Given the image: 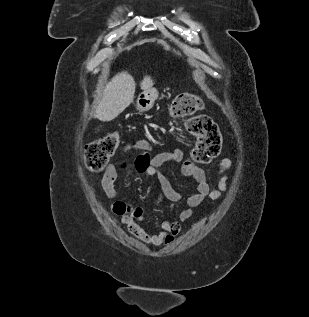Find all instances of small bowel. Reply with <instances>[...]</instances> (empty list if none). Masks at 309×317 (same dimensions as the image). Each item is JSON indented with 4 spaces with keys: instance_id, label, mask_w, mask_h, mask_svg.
I'll return each instance as SVG.
<instances>
[{
    "instance_id": "small-bowel-1",
    "label": "small bowel",
    "mask_w": 309,
    "mask_h": 317,
    "mask_svg": "<svg viewBox=\"0 0 309 317\" xmlns=\"http://www.w3.org/2000/svg\"><path fill=\"white\" fill-rule=\"evenodd\" d=\"M154 146L148 140H139L131 146V150L136 152L133 161L124 163V168L131 167L136 172L153 177L160 186V193L156 199V204L163 199L170 203H176L182 199L181 194L171 185L168 178L162 171V167L168 163H179L183 160V152L179 148H173L170 152L160 153L151 156ZM233 163L230 159H222L216 169L218 180L210 184L205 172L197 167L190 159L184 161L182 171L184 175L193 178L196 185V192L186 199L187 209L179 214L178 221L164 220L160 225V231L151 233L142 226L144 213L142 208L133 206L119 198L116 187L118 169L115 164H110L102 177L101 185L108 197L112 212L121 218L122 223L128 231L140 242L146 245L162 246L173 242L174 238L181 231V223L190 219L206 198L213 200L223 196L229 185V176L226 172L230 171Z\"/></svg>"
}]
</instances>
